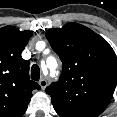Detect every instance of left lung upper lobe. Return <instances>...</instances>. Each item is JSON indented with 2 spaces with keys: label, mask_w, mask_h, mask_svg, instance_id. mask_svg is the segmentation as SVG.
Returning <instances> with one entry per match:
<instances>
[{
  "label": "left lung upper lobe",
  "mask_w": 117,
  "mask_h": 117,
  "mask_svg": "<svg viewBox=\"0 0 117 117\" xmlns=\"http://www.w3.org/2000/svg\"><path fill=\"white\" fill-rule=\"evenodd\" d=\"M63 70L46 88L61 117H97L109 104L117 82V59L108 42L74 22L45 34Z\"/></svg>",
  "instance_id": "5c2ea615"
}]
</instances>
